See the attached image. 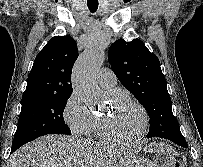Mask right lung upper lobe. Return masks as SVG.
Returning a JSON list of instances; mask_svg holds the SVG:
<instances>
[{"label":"right lung upper lobe","instance_id":"1","mask_svg":"<svg viewBox=\"0 0 203 167\" xmlns=\"http://www.w3.org/2000/svg\"><path fill=\"white\" fill-rule=\"evenodd\" d=\"M77 58V44L72 37H52L35 58L22 101L71 95V73Z\"/></svg>","mask_w":203,"mask_h":167}]
</instances>
